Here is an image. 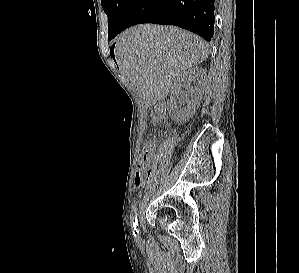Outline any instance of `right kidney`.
I'll return each mask as SVG.
<instances>
[{
	"mask_svg": "<svg viewBox=\"0 0 299 273\" xmlns=\"http://www.w3.org/2000/svg\"><path fill=\"white\" fill-rule=\"evenodd\" d=\"M205 77L206 71L203 68L193 67L184 71L174 80L168 105L169 109L175 113L177 120L186 122L195 114L202 98ZM192 82H197V86H193ZM182 85L186 87V93L177 104Z\"/></svg>",
	"mask_w": 299,
	"mask_h": 273,
	"instance_id": "obj_1",
	"label": "right kidney"
}]
</instances>
